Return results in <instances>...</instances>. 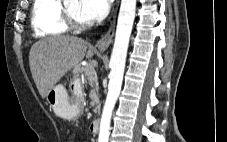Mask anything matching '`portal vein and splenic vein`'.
<instances>
[{
  "label": "portal vein and splenic vein",
  "instance_id": "1",
  "mask_svg": "<svg viewBox=\"0 0 227 142\" xmlns=\"http://www.w3.org/2000/svg\"><path fill=\"white\" fill-rule=\"evenodd\" d=\"M85 74L88 76V77H91L93 75V72L91 70H88L86 69L85 70Z\"/></svg>",
  "mask_w": 227,
  "mask_h": 142
}]
</instances>
